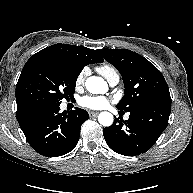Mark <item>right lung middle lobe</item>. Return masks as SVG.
I'll use <instances>...</instances> for the list:
<instances>
[{
    "mask_svg": "<svg viewBox=\"0 0 193 193\" xmlns=\"http://www.w3.org/2000/svg\"><path fill=\"white\" fill-rule=\"evenodd\" d=\"M82 66L67 62L41 60L27 66L16 85V101L28 112L35 113L63 98L73 97Z\"/></svg>",
    "mask_w": 193,
    "mask_h": 193,
    "instance_id": "obj_1",
    "label": "right lung middle lobe"
}]
</instances>
